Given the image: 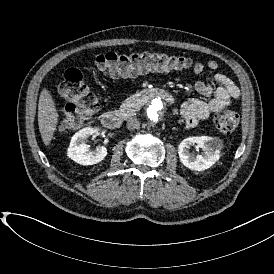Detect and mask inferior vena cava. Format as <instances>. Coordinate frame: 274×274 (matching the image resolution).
<instances>
[{
	"label": "inferior vena cava",
	"instance_id": "1",
	"mask_svg": "<svg viewBox=\"0 0 274 274\" xmlns=\"http://www.w3.org/2000/svg\"><path fill=\"white\" fill-rule=\"evenodd\" d=\"M126 127L129 130L139 129L140 121L137 118H129L126 122Z\"/></svg>",
	"mask_w": 274,
	"mask_h": 274
}]
</instances>
